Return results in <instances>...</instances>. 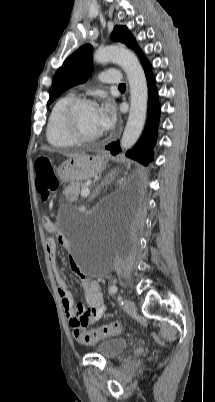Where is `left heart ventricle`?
<instances>
[{
    "label": "left heart ventricle",
    "mask_w": 215,
    "mask_h": 402,
    "mask_svg": "<svg viewBox=\"0 0 215 402\" xmlns=\"http://www.w3.org/2000/svg\"><path fill=\"white\" fill-rule=\"evenodd\" d=\"M78 127L85 135L101 134L98 123V107L94 105L83 106L77 116Z\"/></svg>",
    "instance_id": "obj_1"
}]
</instances>
